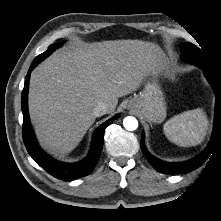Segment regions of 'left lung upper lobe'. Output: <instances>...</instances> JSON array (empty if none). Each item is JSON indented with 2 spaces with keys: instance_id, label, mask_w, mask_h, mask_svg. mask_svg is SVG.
I'll list each match as a JSON object with an SVG mask.
<instances>
[{
  "instance_id": "5c2ea615",
  "label": "left lung upper lobe",
  "mask_w": 221,
  "mask_h": 221,
  "mask_svg": "<svg viewBox=\"0 0 221 221\" xmlns=\"http://www.w3.org/2000/svg\"><path fill=\"white\" fill-rule=\"evenodd\" d=\"M182 58L188 62H191L200 68H203L208 61L205 54L195 45L191 43L181 44Z\"/></svg>"
}]
</instances>
